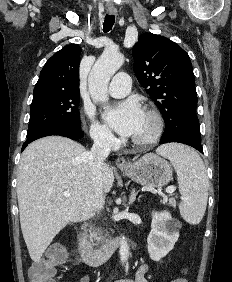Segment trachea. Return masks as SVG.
I'll use <instances>...</instances> for the list:
<instances>
[{"label": "trachea", "mask_w": 232, "mask_h": 282, "mask_svg": "<svg viewBox=\"0 0 232 282\" xmlns=\"http://www.w3.org/2000/svg\"><path fill=\"white\" fill-rule=\"evenodd\" d=\"M114 22L115 17L113 15H106L103 23V31L109 32L112 29Z\"/></svg>", "instance_id": "obj_1"}]
</instances>
